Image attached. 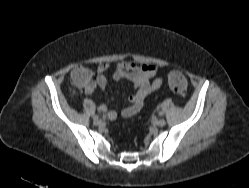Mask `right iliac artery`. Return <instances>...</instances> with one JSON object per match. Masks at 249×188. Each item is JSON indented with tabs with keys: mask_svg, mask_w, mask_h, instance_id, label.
<instances>
[{
	"mask_svg": "<svg viewBox=\"0 0 249 188\" xmlns=\"http://www.w3.org/2000/svg\"><path fill=\"white\" fill-rule=\"evenodd\" d=\"M98 118H99L98 115H94V116H93V119H98Z\"/></svg>",
	"mask_w": 249,
	"mask_h": 188,
	"instance_id": "right-iliac-artery-1",
	"label": "right iliac artery"
}]
</instances>
